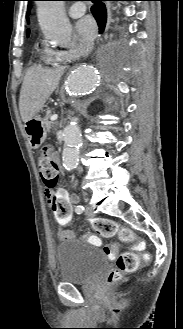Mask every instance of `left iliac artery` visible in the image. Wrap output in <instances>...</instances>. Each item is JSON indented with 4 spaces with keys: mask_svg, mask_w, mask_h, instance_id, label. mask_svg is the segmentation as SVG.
Here are the masks:
<instances>
[{
    "mask_svg": "<svg viewBox=\"0 0 183 329\" xmlns=\"http://www.w3.org/2000/svg\"><path fill=\"white\" fill-rule=\"evenodd\" d=\"M75 211L77 214H81L84 211V207L82 205H78Z\"/></svg>",
    "mask_w": 183,
    "mask_h": 329,
    "instance_id": "1",
    "label": "left iliac artery"
}]
</instances>
